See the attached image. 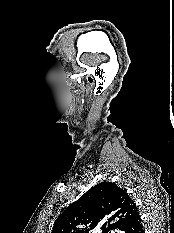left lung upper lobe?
Here are the masks:
<instances>
[{
	"label": "left lung upper lobe",
	"instance_id": "5c2ea615",
	"mask_svg": "<svg viewBox=\"0 0 174 233\" xmlns=\"http://www.w3.org/2000/svg\"><path fill=\"white\" fill-rule=\"evenodd\" d=\"M138 213L127 192L112 182H101L70 204L55 220L51 233H102L119 230Z\"/></svg>",
	"mask_w": 174,
	"mask_h": 233
}]
</instances>
